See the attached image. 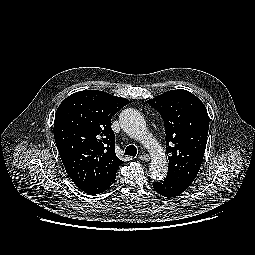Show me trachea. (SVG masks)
<instances>
[{"instance_id": "3493384b", "label": "trachea", "mask_w": 255, "mask_h": 255, "mask_svg": "<svg viewBox=\"0 0 255 255\" xmlns=\"http://www.w3.org/2000/svg\"><path fill=\"white\" fill-rule=\"evenodd\" d=\"M125 155L135 157L137 155V148L134 145H129L125 149Z\"/></svg>"}]
</instances>
